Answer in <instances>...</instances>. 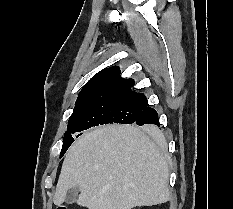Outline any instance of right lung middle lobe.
I'll list each match as a JSON object with an SVG mask.
<instances>
[{
  "mask_svg": "<svg viewBox=\"0 0 233 209\" xmlns=\"http://www.w3.org/2000/svg\"><path fill=\"white\" fill-rule=\"evenodd\" d=\"M146 106L144 103L99 102L74 108L68 121V130L64 134L60 157L74 142V133L108 123L132 124Z\"/></svg>",
  "mask_w": 233,
  "mask_h": 209,
  "instance_id": "obj_1",
  "label": "right lung middle lobe"
}]
</instances>
